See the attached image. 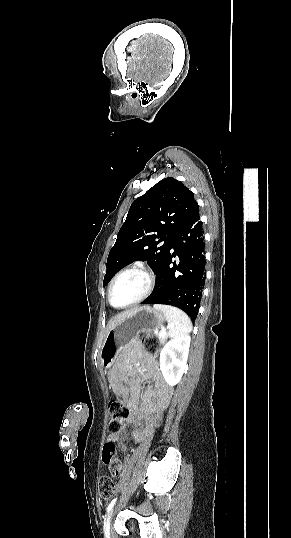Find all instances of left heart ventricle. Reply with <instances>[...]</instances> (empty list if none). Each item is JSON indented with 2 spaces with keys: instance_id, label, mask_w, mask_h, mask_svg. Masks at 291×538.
I'll return each mask as SVG.
<instances>
[{
  "instance_id": "1",
  "label": "left heart ventricle",
  "mask_w": 291,
  "mask_h": 538,
  "mask_svg": "<svg viewBox=\"0 0 291 538\" xmlns=\"http://www.w3.org/2000/svg\"><path fill=\"white\" fill-rule=\"evenodd\" d=\"M146 278L137 272L121 276L112 291V302L115 306H123L139 297L146 289Z\"/></svg>"
}]
</instances>
